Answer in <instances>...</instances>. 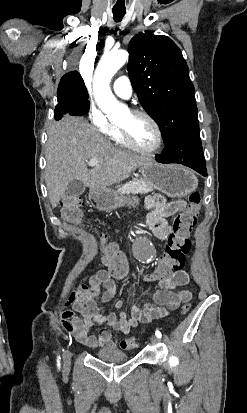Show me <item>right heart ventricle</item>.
<instances>
[{
    "instance_id": "e07e8e85",
    "label": "right heart ventricle",
    "mask_w": 247,
    "mask_h": 413,
    "mask_svg": "<svg viewBox=\"0 0 247 413\" xmlns=\"http://www.w3.org/2000/svg\"><path fill=\"white\" fill-rule=\"evenodd\" d=\"M108 135L120 149L132 150V148L125 143L118 129H114L112 132L108 133ZM118 151L121 150L118 149Z\"/></svg>"
}]
</instances>
